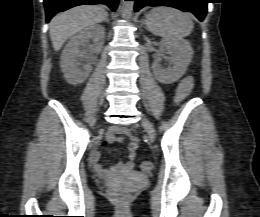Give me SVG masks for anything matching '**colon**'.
<instances>
[{"label":"colon","instance_id":"1","mask_svg":"<svg viewBox=\"0 0 260 217\" xmlns=\"http://www.w3.org/2000/svg\"><path fill=\"white\" fill-rule=\"evenodd\" d=\"M141 169L144 172H149L152 169V165L150 162H142L141 163ZM110 193L113 195L114 199L119 203V204H126L129 199V195L127 192L123 191L120 188H114L111 189Z\"/></svg>","mask_w":260,"mask_h":217}]
</instances>
